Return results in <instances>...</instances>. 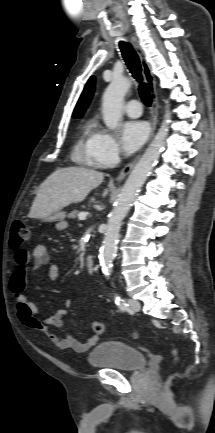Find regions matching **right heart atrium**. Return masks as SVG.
I'll list each match as a JSON object with an SVG mask.
<instances>
[{"label": "right heart atrium", "mask_w": 215, "mask_h": 433, "mask_svg": "<svg viewBox=\"0 0 215 433\" xmlns=\"http://www.w3.org/2000/svg\"><path fill=\"white\" fill-rule=\"evenodd\" d=\"M120 154V148L115 137L105 129H99L95 146V155L101 166L114 164Z\"/></svg>", "instance_id": "obj_1"}]
</instances>
